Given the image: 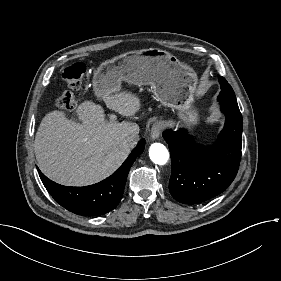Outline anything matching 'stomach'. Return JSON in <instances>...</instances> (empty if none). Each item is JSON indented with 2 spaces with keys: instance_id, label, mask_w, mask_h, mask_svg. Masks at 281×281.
<instances>
[{
  "instance_id": "obj_1",
  "label": "stomach",
  "mask_w": 281,
  "mask_h": 281,
  "mask_svg": "<svg viewBox=\"0 0 281 281\" xmlns=\"http://www.w3.org/2000/svg\"><path fill=\"white\" fill-rule=\"evenodd\" d=\"M122 81L137 86L150 85L156 100L179 111L183 126L191 128L197 124L198 112L193 107L197 74L169 52L142 49L103 62L94 72L95 95L103 98L118 94Z\"/></svg>"
}]
</instances>
